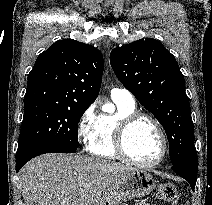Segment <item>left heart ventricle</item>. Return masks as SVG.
<instances>
[{
  "mask_svg": "<svg viewBox=\"0 0 212 205\" xmlns=\"http://www.w3.org/2000/svg\"><path fill=\"white\" fill-rule=\"evenodd\" d=\"M126 148L136 160L149 162L157 159L161 141L154 125L147 119L134 122L126 135Z\"/></svg>",
  "mask_w": 212,
  "mask_h": 205,
  "instance_id": "b2bd125f",
  "label": "left heart ventricle"
}]
</instances>
